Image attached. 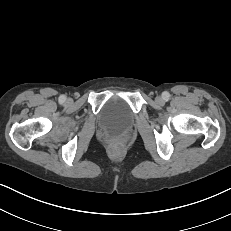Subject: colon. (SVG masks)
<instances>
[{"mask_svg": "<svg viewBox=\"0 0 231 231\" xmlns=\"http://www.w3.org/2000/svg\"><path fill=\"white\" fill-rule=\"evenodd\" d=\"M123 147V143L120 140H114L111 143V148L113 150H120Z\"/></svg>", "mask_w": 231, "mask_h": 231, "instance_id": "obj_1", "label": "colon"}]
</instances>
